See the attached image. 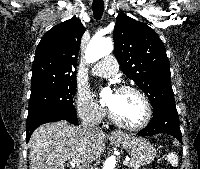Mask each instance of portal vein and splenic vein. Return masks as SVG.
Wrapping results in <instances>:
<instances>
[{"mask_svg": "<svg viewBox=\"0 0 200 169\" xmlns=\"http://www.w3.org/2000/svg\"><path fill=\"white\" fill-rule=\"evenodd\" d=\"M74 164H78L77 162H73ZM123 164L124 165H127L128 164V160H125L124 162H123Z\"/></svg>", "mask_w": 200, "mask_h": 169, "instance_id": "obj_1", "label": "portal vein and splenic vein"}]
</instances>
